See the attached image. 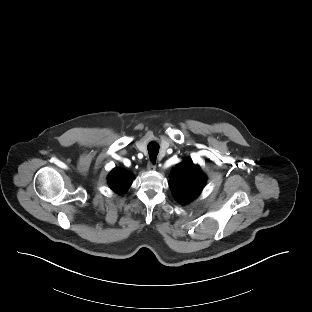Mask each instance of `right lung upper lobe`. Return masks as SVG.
Here are the masks:
<instances>
[{"mask_svg": "<svg viewBox=\"0 0 312 312\" xmlns=\"http://www.w3.org/2000/svg\"><path fill=\"white\" fill-rule=\"evenodd\" d=\"M133 179L134 175L132 173L115 168L109 174L108 184L113 191L122 194L130 187Z\"/></svg>", "mask_w": 312, "mask_h": 312, "instance_id": "right-lung-upper-lobe-1", "label": "right lung upper lobe"}]
</instances>
